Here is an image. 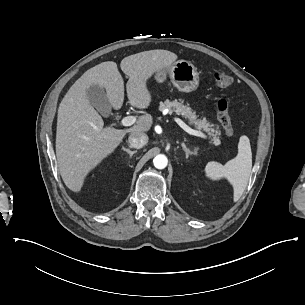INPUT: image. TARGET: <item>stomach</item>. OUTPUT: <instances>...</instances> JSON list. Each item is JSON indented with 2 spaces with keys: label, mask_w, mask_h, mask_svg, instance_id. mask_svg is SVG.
<instances>
[{
  "label": "stomach",
  "mask_w": 305,
  "mask_h": 305,
  "mask_svg": "<svg viewBox=\"0 0 305 305\" xmlns=\"http://www.w3.org/2000/svg\"><path fill=\"white\" fill-rule=\"evenodd\" d=\"M168 73L174 87L181 92L191 93L199 88V73L191 62L176 61L173 66L168 68ZM157 78L159 81H163L165 79L164 72H158Z\"/></svg>",
  "instance_id": "obj_1"
}]
</instances>
